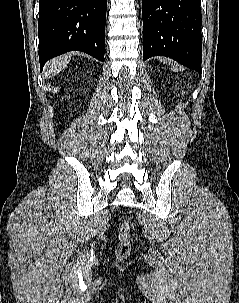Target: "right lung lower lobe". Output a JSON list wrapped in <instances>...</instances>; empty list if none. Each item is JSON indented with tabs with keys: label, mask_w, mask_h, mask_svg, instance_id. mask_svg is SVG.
I'll return each mask as SVG.
<instances>
[{
	"label": "right lung lower lobe",
	"mask_w": 239,
	"mask_h": 303,
	"mask_svg": "<svg viewBox=\"0 0 239 303\" xmlns=\"http://www.w3.org/2000/svg\"><path fill=\"white\" fill-rule=\"evenodd\" d=\"M40 67L78 50L104 61L107 0H40Z\"/></svg>",
	"instance_id": "obj_1"
}]
</instances>
